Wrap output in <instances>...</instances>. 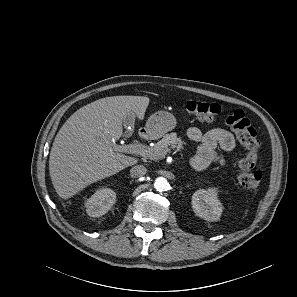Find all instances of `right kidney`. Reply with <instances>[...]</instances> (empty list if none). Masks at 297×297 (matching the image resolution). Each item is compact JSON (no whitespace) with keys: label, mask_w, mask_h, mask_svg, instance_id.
Returning a JSON list of instances; mask_svg holds the SVG:
<instances>
[{"label":"right kidney","mask_w":297,"mask_h":297,"mask_svg":"<svg viewBox=\"0 0 297 297\" xmlns=\"http://www.w3.org/2000/svg\"><path fill=\"white\" fill-rule=\"evenodd\" d=\"M116 201V193L108 188L96 191L86 202L87 214L100 217L107 213Z\"/></svg>","instance_id":"1"}]
</instances>
